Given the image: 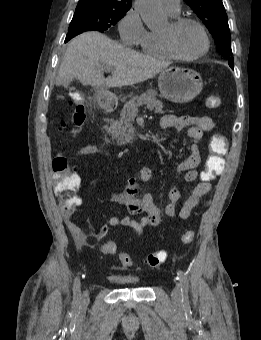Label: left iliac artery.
<instances>
[{
  "label": "left iliac artery",
  "instance_id": "obj_1",
  "mask_svg": "<svg viewBox=\"0 0 261 340\" xmlns=\"http://www.w3.org/2000/svg\"><path fill=\"white\" fill-rule=\"evenodd\" d=\"M177 278L181 284L182 302H184L185 305H188L189 304V298H188L189 281H188L187 274L182 270H178Z\"/></svg>",
  "mask_w": 261,
  "mask_h": 340
}]
</instances>
